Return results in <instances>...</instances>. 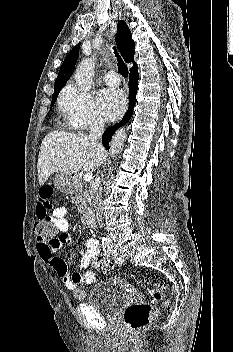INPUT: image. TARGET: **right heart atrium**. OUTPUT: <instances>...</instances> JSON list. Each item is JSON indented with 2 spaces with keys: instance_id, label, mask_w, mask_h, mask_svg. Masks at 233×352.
I'll return each mask as SVG.
<instances>
[{
  "instance_id": "1",
  "label": "right heart atrium",
  "mask_w": 233,
  "mask_h": 352,
  "mask_svg": "<svg viewBox=\"0 0 233 352\" xmlns=\"http://www.w3.org/2000/svg\"><path fill=\"white\" fill-rule=\"evenodd\" d=\"M58 106L68 126L73 130H85L103 124V118L93 97L79 90L74 84H68L62 90Z\"/></svg>"
}]
</instances>
